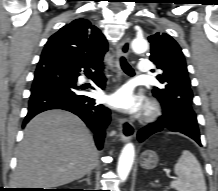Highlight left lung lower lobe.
<instances>
[{
    "label": "left lung lower lobe",
    "mask_w": 218,
    "mask_h": 191,
    "mask_svg": "<svg viewBox=\"0 0 218 191\" xmlns=\"http://www.w3.org/2000/svg\"><path fill=\"white\" fill-rule=\"evenodd\" d=\"M193 117L194 113L192 112V110L188 106L184 105H181L180 111H178L176 117L172 119L167 118L163 110L162 118H160L158 122L150 124L147 127L142 128L138 132V139L139 141H143L150 135L154 134L155 132H159L164 127H166L170 131L180 132L191 137L199 145H201L199 130H195L193 128L187 129L184 124V122H188V120L192 119Z\"/></svg>",
    "instance_id": "1"
}]
</instances>
